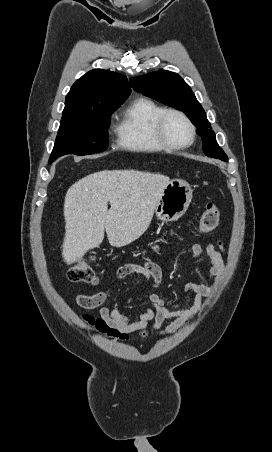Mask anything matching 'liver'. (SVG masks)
Segmentation results:
<instances>
[{"label":"liver","mask_w":272,"mask_h":452,"mask_svg":"<svg viewBox=\"0 0 272 452\" xmlns=\"http://www.w3.org/2000/svg\"><path fill=\"white\" fill-rule=\"evenodd\" d=\"M168 183L167 176L136 170H103L75 182L64 200L66 264L99 247L105 231L114 247L138 239L148 229Z\"/></svg>","instance_id":"obj_1"}]
</instances>
